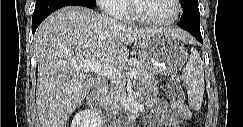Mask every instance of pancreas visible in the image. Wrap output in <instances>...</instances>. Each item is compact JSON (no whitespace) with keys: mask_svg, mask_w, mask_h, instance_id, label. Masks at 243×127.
I'll return each instance as SVG.
<instances>
[{"mask_svg":"<svg viewBox=\"0 0 243 127\" xmlns=\"http://www.w3.org/2000/svg\"><path fill=\"white\" fill-rule=\"evenodd\" d=\"M132 69L138 70L137 78L141 80H151L154 78L153 73L147 68L141 61L132 60L130 61ZM126 71L130 68L125 67ZM125 81L122 79L112 80L109 88H106L102 93V102L113 108L118 105V102L125 98Z\"/></svg>","mask_w":243,"mask_h":127,"instance_id":"1","label":"pancreas"}]
</instances>
